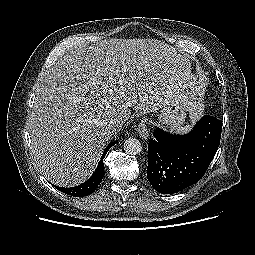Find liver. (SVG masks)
I'll return each mask as SVG.
<instances>
[{"mask_svg":"<svg viewBox=\"0 0 255 255\" xmlns=\"http://www.w3.org/2000/svg\"><path fill=\"white\" fill-rule=\"evenodd\" d=\"M201 79L185 54L154 39H105L75 48L45 74L29 120L32 155L53 184L72 187L94 171L106 143L130 109L139 114L180 101L199 112Z\"/></svg>","mask_w":255,"mask_h":255,"instance_id":"1","label":"liver"}]
</instances>
